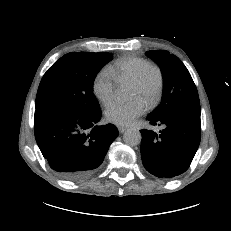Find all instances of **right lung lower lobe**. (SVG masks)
<instances>
[{
	"label": "right lung lower lobe",
	"instance_id": "98d812e1",
	"mask_svg": "<svg viewBox=\"0 0 231 231\" xmlns=\"http://www.w3.org/2000/svg\"><path fill=\"white\" fill-rule=\"evenodd\" d=\"M101 109L90 115L39 107L34 115L37 144L50 167L67 180H81L101 165L118 136L113 124L96 126Z\"/></svg>",
	"mask_w": 231,
	"mask_h": 231
}]
</instances>
